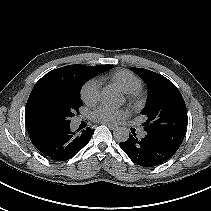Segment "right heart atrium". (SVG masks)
<instances>
[{
  "label": "right heart atrium",
  "mask_w": 211,
  "mask_h": 211,
  "mask_svg": "<svg viewBox=\"0 0 211 211\" xmlns=\"http://www.w3.org/2000/svg\"><path fill=\"white\" fill-rule=\"evenodd\" d=\"M101 84L98 79H90L88 80L81 88V98L82 100L88 104H95L100 95Z\"/></svg>",
  "instance_id": "obj_1"
}]
</instances>
